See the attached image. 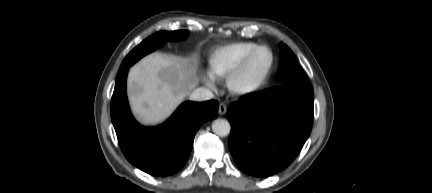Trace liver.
Segmentation results:
<instances>
[{
    "mask_svg": "<svg viewBox=\"0 0 432 193\" xmlns=\"http://www.w3.org/2000/svg\"><path fill=\"white\" fill-rule=\"evenodd\" d=\"M197 63L158 53L150 54L129 71L128 95L138 121L156 125L168 118L199 84Z\"/></svg>",
    "mask_w": 432,
    "mask_h": 193,
    "instance_id": "1",
    "label": "liver"
}]
</instances>
